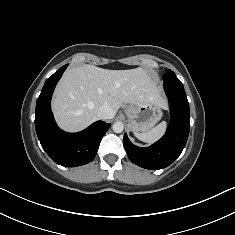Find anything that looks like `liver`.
Returning <instances> with one entry per match:
<instances>
[{"instance_id":"liver-1","label":"liver","mask_w":235,"mask_h":235,"mask_svg":"<svg viewBox=\"0 0 235 235\" xmlns=\"http://www.w3.org/2000/svg\"><path fill=\"white\" fill-rule=\"evenodd\" d=\"M143 102L167 107L156 81L145 69L108 70L82 65L64 73L54 93L52 110L63 130L77 132L99 119L102 105L110 106L116 114L123 103Z\"/></svg>"}]
</instances>
